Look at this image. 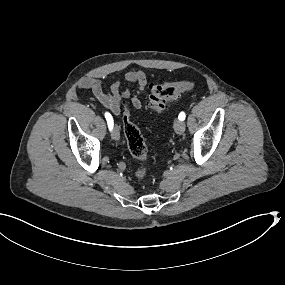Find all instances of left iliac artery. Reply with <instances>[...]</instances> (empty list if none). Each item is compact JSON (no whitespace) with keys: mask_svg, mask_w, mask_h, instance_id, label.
Returning <instances> with one entry per match:
<instances>
[{"mask_svg":"<svg viewBox=\"0 0 285 285\" xmlns=\"http://www.w3.org/2000/svg\"><path fill=\"white\" fill-rule=\"evenodd\" d=\"M185 113L184 112H181L180 114H179V116H178V119L179 120H181V121H183V120H185Z\"/></svg>","mask_w":285,"mask_h":285,"instance_id":"1","label":"left iliac artery"}]
</instances>
